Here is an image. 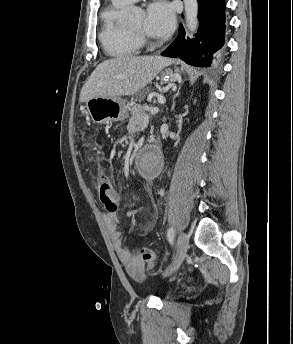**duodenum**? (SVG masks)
I'll return each instance as SVG.
<instances>
[{
  "label": "duodenum",
  "instance_id": "1",
  "mask_svg": "<svg viewBox=\"0 0 293 344\" xmlns=\"http://www.w3.org/2000/svg\"><path fill=\"white\" fill-rule=\"evenodd\" d=\"M135 159H136L137 165H138V164H139V159H140V153H137V154L135 155ZM161 163H162V161H161V159H159V160H158V165L161 166Z\"/></svg>",
  "mask_w": 293,
  "mask_h": 344
}]
</instances>
